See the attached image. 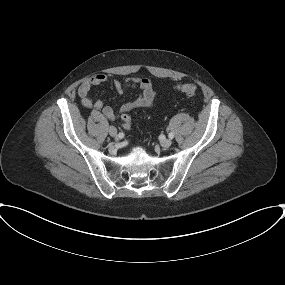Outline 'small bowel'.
<instances>
[{"label":"small bowel","instance_id":"1","mask_svg":"<svg viewBox=\"0 0 285 285\" xmlns=\"http://www.w3.org/2000/svg\"><path fill=\"white\" fill-rule=\"evenodd\" d=\"M111 79L106 74H96L81 83L78 87V96L86 108H93L100 111L107 119L116 120L125 113L140 108H150L156 98L154 83L146 77H127L124 80L112 79V84L118 93H124L130 88H138L141 94L133 101H129L120 107L119 113L101 100H94L90 96L93 87L109 82Z\"/></svg>","mask_w":285,"mask_h":285}]
</instances>
